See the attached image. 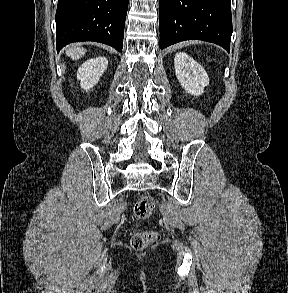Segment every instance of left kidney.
Segmentation results:
<instances>
[{
  "instance_id": "obj_1",
  "label": "left kidney",
  "mask_w": 288,
  "mask_h": 293,
  "mask_svg": "<svg viewBox=\"0 0 288 293\" xmlns=\"http://www.w3.org/2000/svg\"><path fill=\"white\" fill-rule=\"evenodd\" d=\"M175 73L185 91L194 96L202 95L209 84L206 71L186 53H177L174 58Z\"/></svg>"
}]
</instances>
